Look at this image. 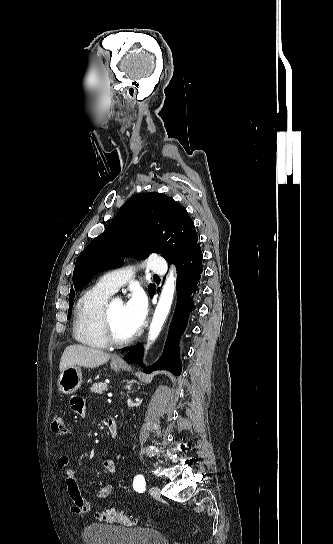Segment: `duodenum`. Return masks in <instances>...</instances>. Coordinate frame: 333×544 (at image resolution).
<instances>
[{
    "label": "duodenum",
    "instance_id": "1",
    "mask_svg": "<svg viewBox=\"0 0 333 544\" xmlns=\"http://www.w3.org/2000/svg\"><path fill=\"white\" fill-rule=\"evenodd\" d=\"M107 425V430H108V434L110 436V438H114L116 436V433H117V428H116V425H115V421L113 419H109L106 423Z\"/></svg>",
    "mask_w": 333,
    "mask_h": 544
}]
</instances>
